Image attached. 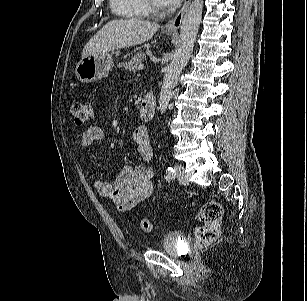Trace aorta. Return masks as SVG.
I'll list each match as a JSON object with an SVG mask.
<instances>
[{
  "label": "aorta",
  "mask_w": 307,
  "mask_h": 301,
  "mask_svg": "<svg viewBox=\"0 0 307 301\" xmlns=\"http://www.w3.org/2000/svg\"><path fill=\"white\" fill-rule=\"evenodd\" d=\"M203 0H193L183 17L180 28V39L174 57L166 68L164 81L159 97V109L165 113L178 78L187 65L193 51L199 25L202 19Z\"/></svg>",
  "instance_id": "obj_1"
}]
</instances>
